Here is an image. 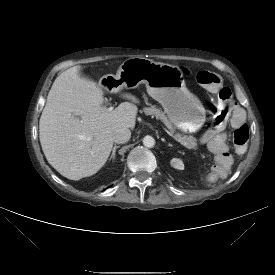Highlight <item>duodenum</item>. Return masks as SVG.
Listing matches in <instances>:
<instances>
[{
    "instance_id": "duodenum-1",
    "label": "duodenum",
    "mask_w": 275,
    "mask_h": 275,
    "mask_svg": "<svg viewBox=\"0 0 275 275\" xmlns=\"http://www.w3.org/2000/svg\"><path fill=\"white\" fill-rule=\"evenodd\" d=\"M96 93L99 94L101 97H105L106 96V93L103 92V91H101L100 89H97Z\"/></svg>"
}]
</instances>
